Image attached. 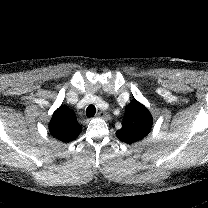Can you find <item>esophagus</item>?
<instances>
[{
    "instance_id": "1",
    "label": "esophagus",
    "mask_w": 208,
    "mask_h": 208,
    "mask_svg": "<svg viewBox=\"0 0 208 208\" xmlns=\"http://www.w3.org/2000/svg\"><path fill=\"white\" fill-rule=\"evenodd\" d=\"M110 115L107 113V112H105V111H100L98 114H97V117L98 118H103V119H109L110 117H109Z\"/></svg>"
}]
</instances>
